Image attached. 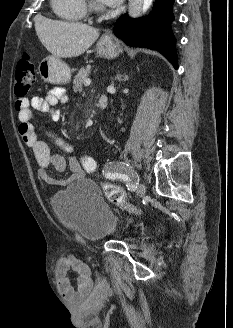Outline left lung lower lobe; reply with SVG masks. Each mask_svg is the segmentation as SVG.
<instances>
[{
  "instance_id": "0a47b994",
  "label": "left lung lower lobe",
  "mask_w": 233,
  "mask_h": 328,
  "mask_svg": "<svg viewBox=\"0 0 233 328\" xmlns=\"http://www.w3.org/2000/svg\"><path fill=\"white\" fill-rule=\"evenodd\" d=\"M173 3L174 0H156L153 12L146 18L132 19L125 14L116 21L114 33L131 46L159 51L177 69L176 40L170 27Z\"/></svg>"
}]
</instances>
